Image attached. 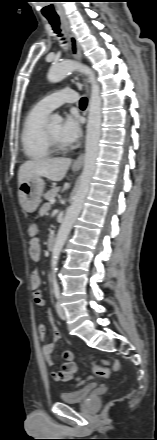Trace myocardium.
Wrapping results in <instances>:
<instances>
[{
    "mask_svg": "<svg viewBox=\"0 0 157 440\" xmlns=\"http://www.w3.org/2000/svg\"><path fill=\"white\" fill-rule=\"evenodd\" d=\"M45 136L46 139L49 143V145L51 146L53 151H63L65 150V144L63 142H60L58 140H56L51 133L48 130V127H45Z\"/></svg>",
    "mask_w": 157,
    "mask_h": 440,
    "instance_id": "myocardium-1",
    "label": "myocardium"
}]
</instances>
